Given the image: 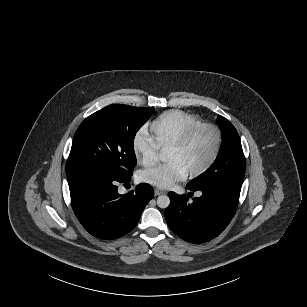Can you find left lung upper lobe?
Returning a JSON list of instances; mask_svg holds the SVG:
<instances>
[{
    "instance_id": "left-lung-upper-lobe-1",
    "label": "left lung upper lobe",
    "mask_w": 307,
    "mask_h": 307,
    "mask_svg": "<svg viewBox=\"0 0 307 307\" xmlns=\"http://www.w3.org/2000/svg\"><path fill=\"white\" fill-rule=\"evenodd\" d=\"M222 132V144L214 163L201 175L191 180L187 188L193 191L223 187L240 193L245 175V157L234 126L223 116L217 117Z\"/></svg>"
}]
</instances>
